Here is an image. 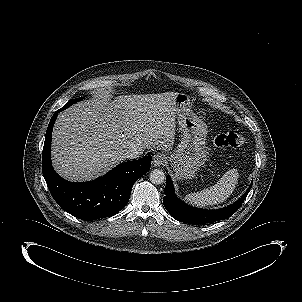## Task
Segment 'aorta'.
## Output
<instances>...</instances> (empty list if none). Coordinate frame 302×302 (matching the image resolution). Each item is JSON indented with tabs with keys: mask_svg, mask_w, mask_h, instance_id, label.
<instances>
[{
	"mask_svg": "<svg viewBox=\"0 0 302 302\" xmlns=\"http://www.w3.org/2000/svg\"><path fill=\"white\" fill-rule=\"evenodd\" d=\"M149 179L153 184L160 185L165 181V173L160 169H154L150 172Z\"/></svg>",
	"mask_w": 302,
	"mask_h": 302,
	"instance_id": "1",
	"label": "aorta"
}]
</instances>
